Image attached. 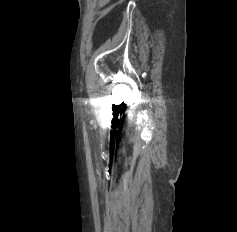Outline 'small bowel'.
<instances>
[{"label":"small bowel","mask_w":237,"mask_h":232,"mask_svg":"<svg viewBox=\"0 0 237 232\" xmlns=\"http://www.w3.org/2000/svg\"><path fill=\"white\" fill-rule=\"evenodd\" d=\"M109 1H110V0H99V4H100L101 6H104V5H106Z\"/></svg>","instance_id":"c3829d8e"}]
</instances>
